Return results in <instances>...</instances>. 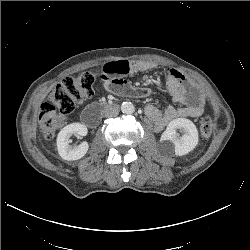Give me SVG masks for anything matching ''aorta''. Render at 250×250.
Here are the masks:
<instances>
[{
  "label": "aorta",
  "instance_id": "1",
  "mask_svg": "<svg viewBox=\"0 0 250 250\" xmlns=\"http://www.w3.org/2000/svg\"><path fill=\"white\" fill-rule=\"evenodd\" d=\"M121 111L125 114H132L135 111V107L131 102H123Z\"/></svg>",
  "mask_w": 250,
  "mask_h": 250
}]
</instances>
